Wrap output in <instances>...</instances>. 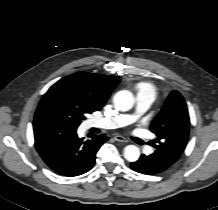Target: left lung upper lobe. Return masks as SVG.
<instances>
[{"label": "left lung upper lobe", "mask_w": 218, "mask_h": 210, "mask_svg": "<svg viewBox=\"0 0 218 210\" xmlns=\"http://www.w3.org/2000/svg\"><path fill=\"white\" fill-rule=\"evenodd\" d=\"M190 119L181 94L172 91L159 114L151 123V131L157 135L155 146L162 153L179 158L189 136Z\"/></svg>", "instance_id": "left-lung-upper-lobe-1"}]
</instances>
